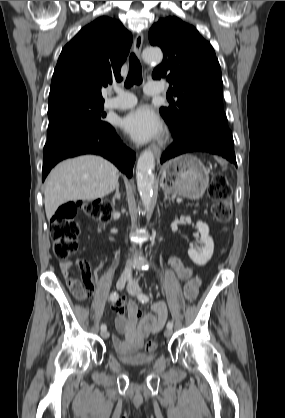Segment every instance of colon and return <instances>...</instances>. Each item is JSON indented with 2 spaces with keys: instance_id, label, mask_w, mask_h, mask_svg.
<instances>
[{
  "instance_id": "1",
  "label": "colon",
  "mask_w": 285,
  "mask_h": 418,
  "mask_svg": "<svg viewBox=\"0 0 285 418\" xmlns=\"http://www.w3.org/2000/svg\"><path fill=\"white\" fill-rule=\"evenodd\" d=\"M207 196L212 200L211 211L219 222H226L231 217V191L224 174H215L208 188ZM79 215L94 218L102 222H108L111 218L110 207L100 201H88L80 204L66 203L62 205L52 216L50 221V236L53 241V253L60 260H66L78 251V235L81 225L76 220ZM68 264L64 265V268ZM74 296L84 301L90 296L89 288L82 282H77L73 287ZM154 339H148L144 345L147 352L156 349Z\"/></svg>"
}]
</instances>
